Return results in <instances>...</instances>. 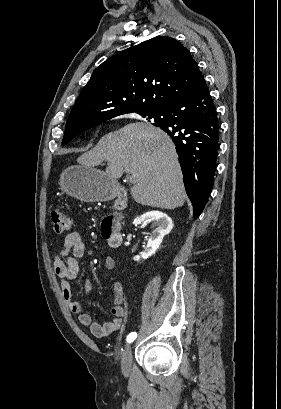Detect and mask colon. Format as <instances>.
<instances>
[{"instance_id": "obj_1", "label": "colon", "mask_w": 281, "mask_h": 409, "mask_svg": "<svg viewBox=\"0 0 281 409\" xmlns=\"http://www.w3.org/2000/svg\"><path fill=\"white\" fill-rule=\"evenodd\" d=\"M51 219L57 234L67 233L72 227L71 216L63 210H53Z\"/></svg>"}]
</instances>
